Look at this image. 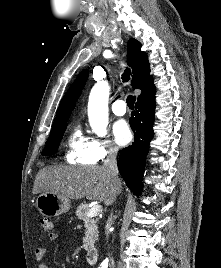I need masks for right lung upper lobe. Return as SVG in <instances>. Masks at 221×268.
<instances>
[{
    "instance_id": "1",
    "label": "right lung upper lobe",
    "mask_w": 221,
    "mask_h": 268,
    "mask_svg": "<svg viewBox=\"0 0 221 268\" xmlns=\"http://www.w3.org/2000/svg\"><path fill=\"white\" fill-rule=\"evenodd\" d=\"M141 43L132 38L128 41L127 63L132 68V87L140 89L142 93L138 96V101L144 100L155 94L153 78L150 76V64L146 52L141 51ZM89 72L82 71L69 90L62 98L56 113L54 126L67 122L71 111L75 107V102L79 98L83 87L88 79Z\"/></svg>"
}]
</instances>
